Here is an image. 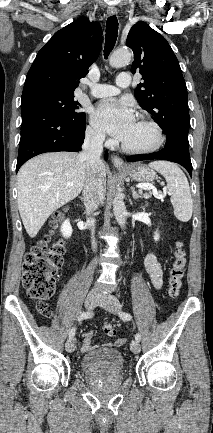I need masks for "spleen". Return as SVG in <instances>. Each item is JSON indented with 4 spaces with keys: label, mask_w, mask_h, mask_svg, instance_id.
I'll return each instance as SVG.
<instances>
[{
    "label": "spleen",
    "mask_w": 213,
    "mask_h": 433,
    "mask_svg": "<svg viewBox=\"0 0 213 433\" xmlns=\"http://www.w3.org/2000/svg\"><path fill=\"white\" fill-rule=\"evenodd\" d=\"M149 167L165 178L175 217L182 222L189 221L192 217L193 202L189 183L183 171L167 161H154Z\"/></svg>",
    "instance_id": "obj_1"
}]
</instances>
